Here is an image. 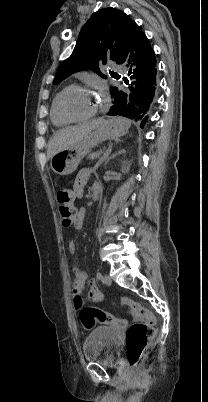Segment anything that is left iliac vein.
<instances>
[{
  "label": "left iliac vein",
  "mask_w": 208,
  "mask_h": 402,
  "mask_svg": "<svg viewBox=\"0 0 208 402\" xmlns=\"http://www.w3.org/2000/svg\"><path fill=\"white\" fill-rule=\"evenodd\" d=\"M103 282H104L105 285L110 286L111 283H112L111 277L106 274V275L103 277Z\"/></svg>",
  "instance_id": "left-iliac-vein-1"
}]
</instances>
